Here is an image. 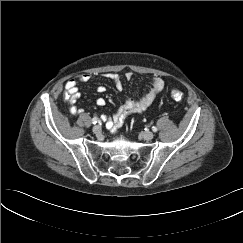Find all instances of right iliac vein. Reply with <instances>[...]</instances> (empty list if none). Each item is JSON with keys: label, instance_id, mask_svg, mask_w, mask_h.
Returning a JSON list of instances; mask_svg holds the SVG:
<instances>
[{"label": "right iliac vein", "instance_id": "right-iliac-vein-1", "mask_svg": "<svg viewBox=\"0 0 243 243\" xmlns=\"http://www.w3.org/2000/svg\"><path fill=\"white\" fill-rule=\"evenodd\" d=\"M101 131H102L101 126L96 125V126L93 127V133L94 134L99 135L101 133Z\"/></svg>", "mask_w": 243, "mask_h": 243}]
</instances>
